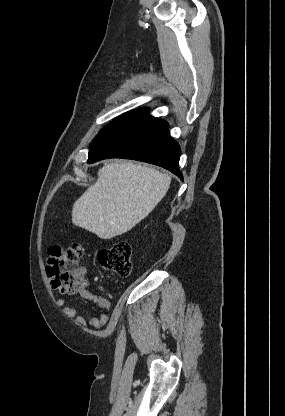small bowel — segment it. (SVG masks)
Returning a JSON list of instances; mask_svg holds the SVG:
<instances>
[{
  "label": "small bowel",
  "mask_w": 285,
  "mask_h": 416,
  "mask_svg": "<svg viewBox=\"0 0 285 416\" xmlns=\"http://www.w3.org/2000/svg\"><path fill=\"white\" fill-rule=\"evenodd\" d=\"M78 294L82 299L93 302L102 310L108 311L111 308V302L109 301V299H107L104 296L94 294L87 288L86 285L78 292ZM57 304L62 307L63 312L67 317H69L73 320L74 323L85 329L88 327V325L92 326L95 329H100L103 326H105L108 321V315L104 312L100 313L97 316H82L78 313L77 307L67 306V301L65 299H59L57 301Z\"/></svg>",
  "instance_id": "obj_1"
}]
</instances>
